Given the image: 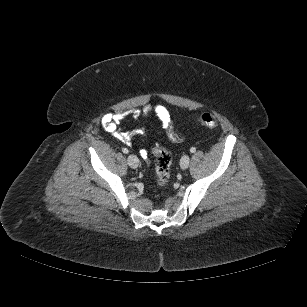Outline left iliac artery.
I'll use <instances>...</instances> for the list:
<instances>
[{
    "mask_svg": "<svg viewBox=\"0 0 307 307\" xmlns=\"http://www.w3.org/2000/svg\"><path fill=\"white\" fill-rule=\"evenodd\" d=\"M190 152L191 153H195L196 152V148L195 147H191Z\"/></svg>",
    "mask_w": 307,
    "mask_h": 307,
    "instance_id": "44dca946",
    "label": "left iliac artery"
}]
</instances>
